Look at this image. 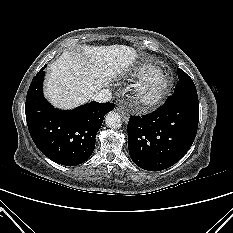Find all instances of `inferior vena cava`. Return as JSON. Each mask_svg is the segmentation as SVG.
Masks as SVG:
<instances>
[{"label":"inferior vena cava","mask_w":233,"mask_h":233,"mask_svg":"<svg viewBox=\"0 0 233 233\" xmlns=\"http://www.w3.org/2000/svg\"><path fill=\"white\" fill-rule=\"evenodd\" d=\"M111 98H112V93L109 89L99 90L92 95V99L99 103L108 102L111 100Z\"/></svg>","instance_id":"inferior-vena-cava-1"}]
</instances>
